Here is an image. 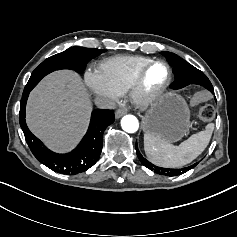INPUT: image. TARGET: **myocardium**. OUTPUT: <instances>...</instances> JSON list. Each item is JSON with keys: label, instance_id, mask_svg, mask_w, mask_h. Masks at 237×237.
Listing matches in <instances>:
<instances>
[{"label": "myocardium", "instance_id": "f54148a6", "mask_svg": "<svg viewBox=\"0 0 237 237\" xmlns=\"http://www.w3.org/2000/svg\"><path fill=\"white\" fill-rule=\"evenodd\" d=\"M160 64L166 68L167 75L164 82L157 88L149 90L145 84V78L149 69ZM172 79V71L169 64L163 60H151L138 73L133 85L130 88L132 102L139 108L146 109L157 102L165 93Z\"/></svg>", "mask_w": 237, "mask_h": 237}]
</instances>
